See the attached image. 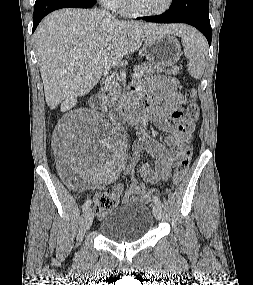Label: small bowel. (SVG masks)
<instances>
[{"instance_id":"c3829d8e","label":"small bowel","mask_w":253,"mask_h":285,"mask_svg":"<svg viewBox=\"0 0 253 285\" xmlns=\"http://www.w3.org/2000/svg\"><path fill=\"white\" fill-rule=\"evenodd\" d=\"M131 96L142 104L143 116L139 122L140 141L134 145L132 161L124 169V174L132 178L124 200L148 203L151 197L147 195L145 183L139 182L135 174L140 153L146 150L156 159L154 168L149 163L142 165L140 175L143 181L156 184L167 180L177 161L183 156L195 125L183 116L184 96L179 91V84L175 78L155 76L145 84L133 87ZM148 124L167 133L165 144L149 135ZM59 153L60 155L67 154L65 143L59 146ZM123 191L124 185L121 183L115 184L111 189L117 199Z\"/></svg>"}]
</instances>
